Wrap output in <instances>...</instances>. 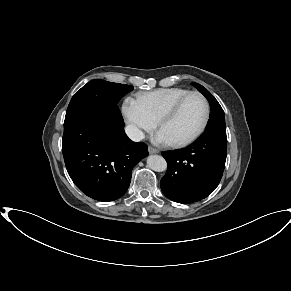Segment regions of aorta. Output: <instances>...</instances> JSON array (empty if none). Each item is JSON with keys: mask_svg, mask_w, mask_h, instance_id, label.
Returning <instances> with one entry per match:
<instances>
[{"mask_svg": "<svg viewBox=\"0 0 291 291\" xmlns=\"http://www.w3.org/2000/svg\"><path fill=\"white\" fill-rule=\"evenodd\" d=\"M147 166L156 172H163L167 169V162L162 156L150 155L147 158Z\"/></svg>", "mask_w": 291, "mask_h": 291, "instance_id": "aorta-1", "label": "aorta"}]
</instances>
